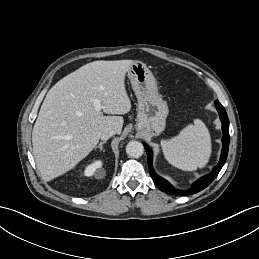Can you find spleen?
Masks as SVG:
<instances>
[{"label":"spleen","mask_w":259,"mask_h":259,"mask_svg":"<svg viewBox=\"0 0 259 259\" xmlns=\"http://www.w3.org/2000/svg\"><path fill=\"white\" fill-rule=\"evenodd\" d=\"M161 146L166 160L184 171L205 167L211 155V137L200 119L187 125L177 136L162 140Z\"/></svg>","instance_id":"1"}]
</instances>
